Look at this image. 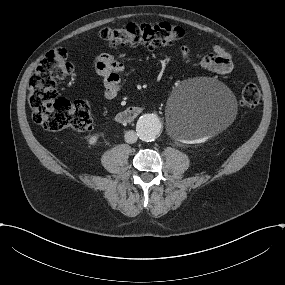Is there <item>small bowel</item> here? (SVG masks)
Here are the masks:
<instances>
[{
    "mask_svg": "<svg viewBox=\"0 0 285 285\" xmlns=\"http://www.w3.org/2000/svg\"><path fill=\"white\" fill-rule=\"evenodd\" d=\"M176 55L183 61H188L191 58V52L186 46L180 47L176 51ZM122 57L123 54L101 53L94 58L93 70L102 80L106 98H115L119 93L120 75L125 70L124 64L121 62ZM201 65L218 74H228L233 70L231 56L222 45H215L213 52L201 59Z\"/></svg>",
    "mask_w": 285,
    "mask_h": 285,
    "instance_id": "obj_1",
    "label": "small bowel"
}]
</instances>
